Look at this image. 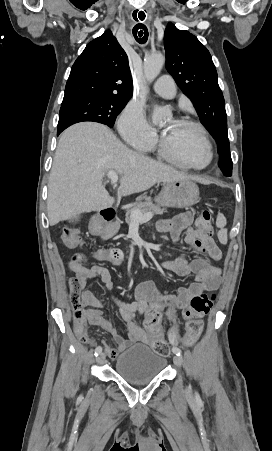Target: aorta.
Wrapping results in <instances>:
<instances>
[{
  "label": "aorta",
  "mask_w": 272,
  "mask_h": 451,
  "mask_svg": "<svg viewBox=\"0 0 272 451\" xmlns=\"http://www.w3.org/2000/svg\"><path fill=\"white\" fill-rule=\"evenodd\" d=\"M164 64L165 56H163V54H151V56H146V58H144V74L147 82H153V80L157 78ZM164 116L163 108L155 106L152 116L153 124H156V122L160 124V122L164 120Z\"/></svg>",
  "instance_id": "762f6f07"
}]
</instances>
